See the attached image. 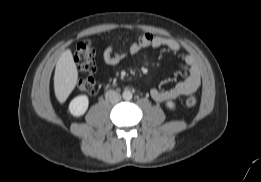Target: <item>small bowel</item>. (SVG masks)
Wrapping results in <instances>:
<instances>
[{"instance_id":"small-bowel-1","label":"small bowel","mask_w":261,"mask_h":182,"mask_svg":"<svg viewBox=\"0 0 261 182\" xmlns=\"http://www.w3.org/2000/svg\"><path fill=\"white\" fill-rule=\"evenodd\" d=\"M149 47H164L174 53L181 54V59L188 68V76L172 88L167 90L152 89L150 95L153 100L156 102H166L180 96L193 94L198 90L201 85V71L199 65L193 55L182 52V47L179 42L175 39L160 35L144 34L131 44L129 53L137 54L140 50ZM125 56V53H122L116 50L112 45H109L103 52L102 63L106 65H117Z\"/></svg>"}]
</instances>
